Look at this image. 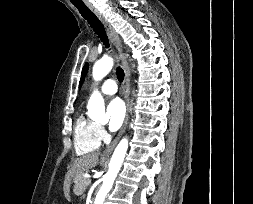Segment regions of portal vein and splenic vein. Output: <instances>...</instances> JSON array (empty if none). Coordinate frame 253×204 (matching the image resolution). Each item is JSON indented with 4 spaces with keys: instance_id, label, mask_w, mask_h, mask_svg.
Returning a JSON list of instances; mask_svg holds the SVG:
<instances>
[{
    "instance_id": "portal-vein-and-splenic-vein-1",
    "label": "portal vein and splenic vein",
    "mask_w": 253,
    "mask_h": 204,
    "mask_svg": "<svg viewBox=\"0 0 253 204\" xmlns=\"http://www.w3.org/2000/svg\"><path fill=\"white\" fill-rule=\"evenodd\" d=\"M86 184H87V185H90V184H91V179H87Z\"/></svg>"
}]
</instances>
